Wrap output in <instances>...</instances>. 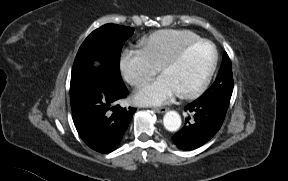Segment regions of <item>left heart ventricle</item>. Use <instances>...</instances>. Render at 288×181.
Here are the masks:
<instances>
[{
  "label": "left heart ventricle",
  "instance_id": "1",
  "mask_svg": "<svg viewBox=\"0 0 288 181\" xmlns=\"http://www.w3.org/2000/svg\"><path fill=\"white\" fill-rule=\"evenodd\" d=\"M215 52L211 45L200 44L191 49L180 63L165 70L162 75L175 87L178 93L198 86L209 73Z\"/></svg>",
  "mask_w": 288,
  "mask_h": 181
}]
</instances>
